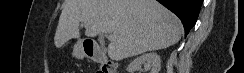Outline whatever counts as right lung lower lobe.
I'll return each instance as SVG.
<instances>
[{"instance_id":"98d812e1","label":"right lung lower lobe","mask_w":244,"mask_h":73,"mask_svg":"<svg viewBox=\"0 0 244 73\" xmlns=\"http://www.w3.org/2000/svg\"><path fill=\"white\" fill-rule=\"evenodd\" d=\"M175 13L183 23L185 35L195 25L203 0H157Z\"/></svg>"}]
</instances>
